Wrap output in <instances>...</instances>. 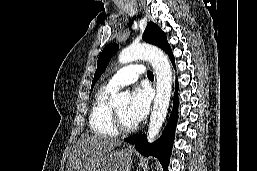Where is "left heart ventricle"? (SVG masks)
<instances>
[{
    "mask_svg": "<svg viewBox=\"0 0 257 171\" xmlns=\"http://www.w3.org/2000/svg\"><path fill=\"white\" fill-rule=\"evenodd\" d=\"M115 108H116V110L118 111V113L120 114V116L122 117L123 121L126 124H128V125L135 124V122L128 115L129 105L127 103L119 105V106H117Z\"/></svg>",
    "mask_w": 257,
    "mask_h": 171,
    "instance_id": "obj_1",
    "label": "left heart ventricle"
}]
</instances>
